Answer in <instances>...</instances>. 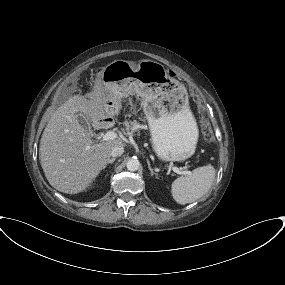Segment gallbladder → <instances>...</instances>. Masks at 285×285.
<instances>
[{
    "mask_svg": "<svg viewBox=\"0 0 285 285\" xmlns=\"http://www.w3.org/2000/svg\"><path fill=\"white\" fill-rule=\"evenodd\" d=\"M76 116H77V119H78L79 123H80L83 127L90 129L88 120L86 119V117H85L83 114L79 113V114H77Z\"/></svg>",
    "mask_w": 285,
    "mask_h": 285,
    "instance_id": "1",
    "label": "gallbladder"
}]
</instances>
